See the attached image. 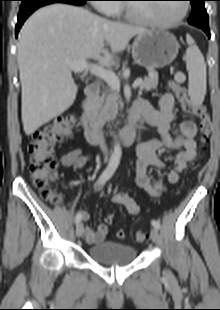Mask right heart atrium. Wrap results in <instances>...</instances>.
Here are the masks:
<instances>
[{"instance_id":"right-heart-atrium-1","label":"right heart atrium","mask_w":220,"mask_h":310,"mask_svg":"<svg viewBox=\"0 0 220 310\" xmlns=\"http://www.w3.org/2000/svg\"><path fill=\"white\" fill-rule=\"evenodd\" d=\"M113 0H97L96 8L100 12L106 15L114 14L117 6L113 3Z\"/></svg>"}]
</instances>
